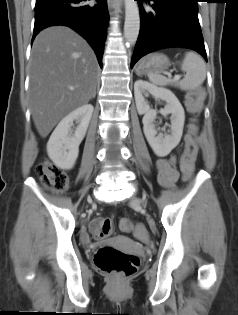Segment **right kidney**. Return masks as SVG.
Wrapping results in <instances>:
<instances>
[{
	"label": "right kidney",
	"mask_w": 238,
	"mask_h": 315,
	"mask_svg": "<svg viewBox=\"0 0 238 315\" xmlns=\"http://www.w3.org/2000/svg\"><path fill=\"white\" fill-rule=\"evenodd\" d=\"M94 107L85 104L64 117L57 125L47 143V153L56 166L64 170L74 167L78 158L79 145L84 139ZM79 123L76 130H72L73 122Z\"/></svg>",
	"instance_id": "ca27d5eb"
}]
</instances>
